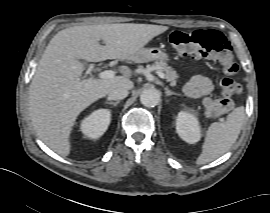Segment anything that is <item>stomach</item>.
Here are the masks:
<instances>
[{"label": "stomach", "mask_w": 270, "mask_h": 213, "mask_svg": "<svg viewBox=\"0 0 270 213\" xmlns=\"http://www.w3.org/2000/svg\"><path fill=\"white\" fill-rule=\"evenodd\" d=\"M169 58V55L159 48H141L133 61L139 63L149 61H167Z\"/></svg>", "instance_id": "obj_1"}]
</instances>
